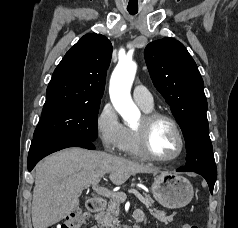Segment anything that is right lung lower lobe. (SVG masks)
<instances>
[{"mask_svg":"<svg viewBox=\"0 0 238 228\" xmlns=\"http://www.w3.org/2000/svg\"><path fill=\"white\" fill-rule=\"evenodd\" d=\"M68 147L95 149L92 141L82 138L33 139L28 154V171H31L43 157Z\"/></svg>","mask_w":238,"mask_h":228,"instance_id":"1","label":"right lung lower lobe"}]
</instances>
